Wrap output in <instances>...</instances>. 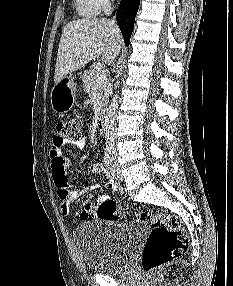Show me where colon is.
Instances as JSON below:
<instances>
[{
	"label": "colon",
	"instance_id": "colon-1",
	"mask_svg": "<svg viewBox=\"0 0 233 286\" xmlns=\"http://www.w3.org/2000/svg\"><path fill=\"white\" fill-rule=\"evenodd\" d=\"M82 127V118L73 116L57 124L56 137L76 142L81 139ZM96 215L103 220H116L124 212L116 201L104 200L96 206ZM138 216L151 230L141 255L144 272L156 270L187 250L189 238L178 217L153 209L143 210Z\"/></svg>",
	"mask_w": 233,
	"mask_h": 286
}]
</instances>
